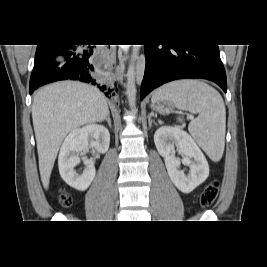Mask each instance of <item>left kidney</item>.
Here are the masks:
<instances>
[{"mask_svg":"<svg viewBox=\"0 0 267 267\" xmlns=\"http://www.w3.org/2000/svg\"><path fill=\"white\" fill-rule=\"evenodd\" d=\"M158 153L164 158L168 175L183 193L192 192L209 176L208 162L192 137L179 128L163 126L154 134ZM175 147L183 155L182 163L190 167L186 175L180 170L181 161L175 156Z\"/></svg>","mask_w":267,"mask_h":267,"instance_id":"1","label":"left kidney"}]
</instances>
